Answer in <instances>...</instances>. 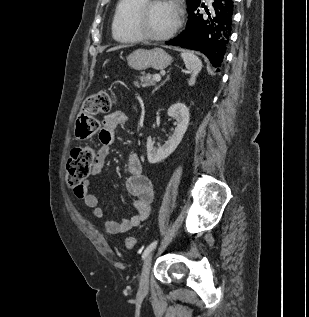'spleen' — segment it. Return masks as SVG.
<instances>
[{"instance_id":"3e777b00","label":"spleen","mask_w":309,"mask_h":317,"mask_svg":"<svg viewBox=\"0 0 309 317\" xmlns=\"http://www.w3.org/2000/svg\"><path fill=\"white\" fill-rule=\"evenodd\" d=\"M181 57L185 63L186 69L191 73V78L188 83L192 86L195 83L198 73L202 69V62L196 55L189 51L182 52Z\"/></svg>"}]
</instances>
